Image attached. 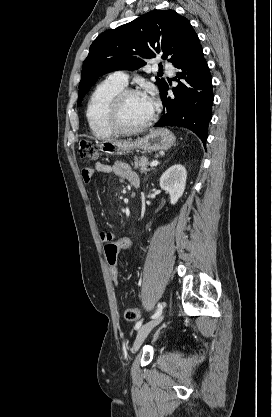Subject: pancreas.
<instances>
[{
    "label": "pancreas",
    "mask_w": 272,
    "mask_h": 417,
    "mask_svg": "<svg viewBox=\"0 0 272 417\" xmlns=\"http://www.w3.org/2000/svg\"><path fill=\"white\" fill-rule=\"evenodd\" d=\"M149 163H150L149 158L143 156L140 158L136 157L132 165H134L135 169H139L140 172L147 173L148 171H150V169L148 168Z\"/></svg>",
    "instance_id": "pancreas-1"
}]
</instances>
